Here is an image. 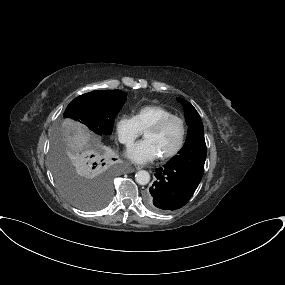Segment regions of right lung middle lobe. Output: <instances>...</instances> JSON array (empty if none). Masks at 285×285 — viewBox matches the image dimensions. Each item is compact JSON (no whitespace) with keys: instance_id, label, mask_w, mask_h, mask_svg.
<instances>
[{"instance_id":"1","label":"right lung middle lobe","mask_w":285,"mask_h":285,"mask_svg":"<svg viewBox=\"0 0 285 285\" xmlns=\"http://www.w3.org/2000/svg\"><path fill=\"white\" fill-rule=\"evenodd\" d=\"M125 97L121 90L92 91L71 101L64 117L81 121L98 135H110L114 118L123 107ZM96 167L95 171L91 170ZM52 169L60 190L78 208L97 210L109 201L111 160L108 157L98 155L95 158L92 155L86 159L80 157L72 163L61 136H57L52 148Z\"/></svg>"}]
</instances>
